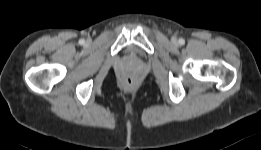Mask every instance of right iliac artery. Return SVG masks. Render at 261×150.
I'll return each mask as SVG.
<instances>
[{
	"mask_svg": "<svg viewBox=\"0 0 261 150\" xmlns=\"http://www.w3.org/2000/svg\"><path fill=\"white\" fill-rule=\"evenodd\" d=\"M79 43H80V44H84V40L81 39V40L79 41Z\"/></svg>",
	"mask_w": 261,
	"mask_h": 150,
	"instance_id": "obj_1",
	"label": "right iliac artery"
}]
</instances>
